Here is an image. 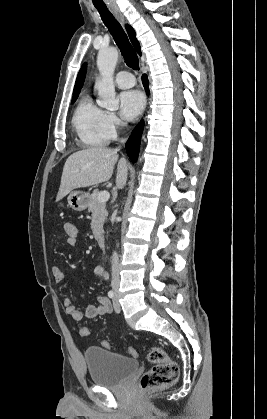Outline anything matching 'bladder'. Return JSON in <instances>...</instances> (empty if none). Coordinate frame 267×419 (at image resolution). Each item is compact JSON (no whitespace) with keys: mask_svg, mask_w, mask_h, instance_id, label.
I'll use <instances>...</instances> for the list:
<instances>
[{"mask_svg":"<svg viewBox=\"0 0 267 419\" xmlns=\"http://www.w3.org/2000/svg\"><path fill=\"white\" fill-rule=\"evenodd\" d=\"M84 356L92 383L104 388L122 386L139 369L136 359L98 346L88 347Z\"/></svg>","mask_w":267,"mask_h":419,"instance_id":"1","label":"bladder"}]
</instances>
